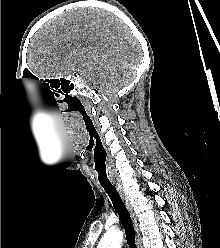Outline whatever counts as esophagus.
<instances>
[{
  "label": "esophagus",
  "mask_w": 220,
  "mask_h": 248,
  "mask_svg": "<svg viewBox=\"0 0 220 248\" xmlns=\"http://www.w3.org/2000/svg\"><path fill=\"white\" fill-rule=\"evenodd\" d=\"M116 188H117V191H118L120 197L122 198L123 202L125 203V206H126L127 210L129 211V213L131 215V218L133 220L134 227H135V230H136V233H137V243H136L137 248H142L140 234H139V228H138V223H137V218H136L135 212L133 210V206H132L129 198L125 194L122 186L120 184H117Z\"/></svg>",
  "instance_id": "obj_1"
}]
</instances>
